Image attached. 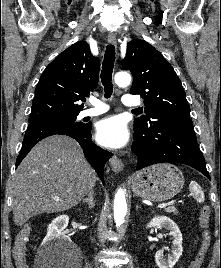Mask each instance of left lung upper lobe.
Returning <instances> with one entry per match:
<instances>
[{"instance_id":"5c2ea615","label":"left lung upper lobe","mask_w":221,"mask_h":268,"mask_svg":"<svg viewBox=\"0 0 221 268\" xmlns=\"http://www.w3.org/2000/svg\"><path fill=\"white\" fill-rule=\"evenodd\" d=\"M122 67L133 75L131 94L144 99V112L134 120V127L147 124L151 114L176 113L190 115V106L181 81L162 54L144 40L127 44Z\"/></svg>"}]
</instances>
